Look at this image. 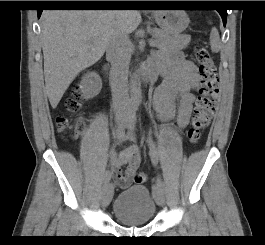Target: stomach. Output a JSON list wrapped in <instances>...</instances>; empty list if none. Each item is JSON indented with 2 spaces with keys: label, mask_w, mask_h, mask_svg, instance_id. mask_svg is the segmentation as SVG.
I'll return each mask as SVG.
<instances>
[{
  "label": "stomach",
  "mask_w": 265,
  "mask_h": 245,
  "mask_svg": "<svg viewBox=\"0 0 265 245\" xmlns=\"http://www.w3.org/2000/svg\"><path fill=\"white\" fill-rule=\"evenodd\" d=\"M153 16L158 26L170 35H179L190 22L183 10H159L155 11Z\"/></svg>",
  "instance_id": "1"
}]
</instances>
